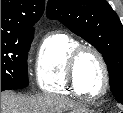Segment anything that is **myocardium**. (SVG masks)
Instances as JSON below:
<instances>
[{
  "label": "myocardium",
  "mask_w": 123,
  "mask_h": 113,
  "mask_svg": "<svg viewBox=\"0 0 123 113\" xmlns=\"http://www.w3.org/2000/svg\"><path fill=\"white\" fill-rule=\"evenodd\" d=\"M87 52L92 53L98 59L102 68V72H103L104 85L102 90L97 94H88L83 92L80 88L78 77H77V66H78L79 60ZM67 72H68L70 83L73 86V88L80 95L84 97L91 98V99L100 98L104 96L109 89L110 77H109V69H108L107 62L103 54L94 46L82 44V45H79L77 48H75L69 57V60L67 63Z\"/></svg>",
  "instance_id": "f54148a6"
}]
</instances>
